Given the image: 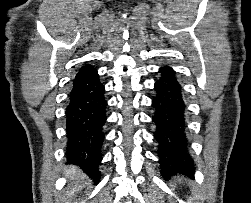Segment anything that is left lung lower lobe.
<instances>
[{"label":"left lung lower lobe","instance_id":"0a47b994","mask_svg":"<svg viewBox=\"0 0 251 203\" xmlns=\"http://www.w3.org/2000/svg\"><path fill=\"white\" fill-rule=\"evenodd\" d=\"M160 78L154 89L152 100L155 113L152 117L156 125L154 137L159 143L158 156L161 174L164 177L176 173L192 177L194 162L188 151L186 103L176 72L169 67H161Z\"/></svg>","mask_w":251,"mask_h":203}]
</instances>
